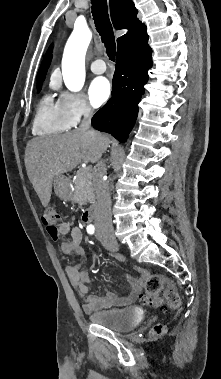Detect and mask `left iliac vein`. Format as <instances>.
Listing matches in <instances>:
<instances>
[{
	"label": "left iliac vein",
	"mask_w": 221,
	"mask_h": 379,
	"mask_svg": "<svg viewBox=\"0 0 221 379\" xmlns=\"http://www.w3.org/2000/svg\"><path fill=\"white\" fill-rule=\"evenodd\" d=\"M104 247H106L108 250L115 252L118 250V244L116 241H107L104 240L103 242Z\"/></svg>",
	"instance_id": "obj_1"
}]
</instances>
